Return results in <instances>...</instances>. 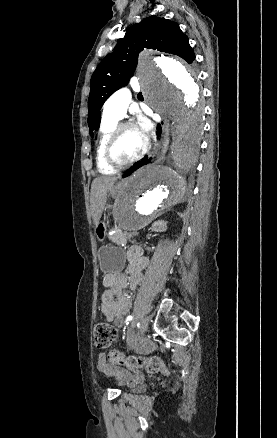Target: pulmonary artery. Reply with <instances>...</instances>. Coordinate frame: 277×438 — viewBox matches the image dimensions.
I'll return each mask as SVG.
<instances>
[{"label":"pulmonary artery","instance_id":"e3ab8cb5","mask_svg":"<svg viewBox=\"0 0 277 438\" xmlns=\"http://www.w3.org/2000/svg\"><path fill=\"white\" fill-rule=\"evenodd\" d=\"M132 77V84L127 87H114V95H109L108 103L103 107V118L120 120L126 115L129 104L132 99V92L129 90H140L141 82L138 81L137 76ZM129 89V90H128Z\"/></svg>","mask_w":277,"mask_h":438}]
</instances>
